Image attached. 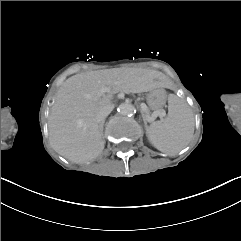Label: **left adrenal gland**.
<instances>
[{
	"instance_id": "a2214340",
	"label": "left adrenal gland",
	"mask_w": 241,
	"mask_h": 241,
	"mask_svg": "<svg viewBox=\"0 0 241 241\" xmlns=\"http://www.w3.org/2000/svg\"><path fill=\"white\" fill-rule=\"evenodd\" d=\"M142 118H143L144 124L147 125V121H146V117H145L144 113H142Z\"/></svg>"
}]
</instances>
